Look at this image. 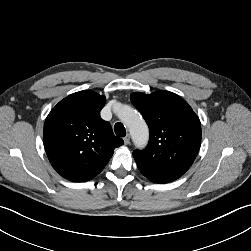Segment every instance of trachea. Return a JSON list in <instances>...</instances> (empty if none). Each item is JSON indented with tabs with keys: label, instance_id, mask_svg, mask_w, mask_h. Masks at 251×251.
Masks as SVG:
<instances>
[{
	"label": "trachea",
	"instance_id": "obj_1",
	"mask_svg": "<svg viewBox=\"0 0 251 251\" xmlns=\"http://www.w3.org/2000/svg\"><path fill=\"white\" fill-rule=\"evenodd\" d=\"M115 134L119 137H124L126 135V129L122 123H116L114 126Z\"/></svg>",
	"mask_w": 251,
	"mask_h": 251
}]
</instances>
